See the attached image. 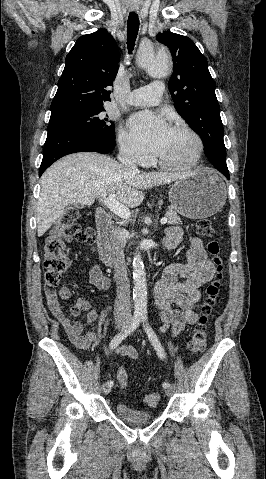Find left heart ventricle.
I'll return each instance as SVG.
<instances>
[{
  "label": "left heart ventricle",
  "instance_id": "b2bd125f",
  "mask_svg": "<svg viewBox=\"0 0 266 479\" xmlns=\"http://www.w3.org/2000/svg\"><path fill=\"white\" fill-rule=\"evenodd\" d=\"M193 139L185 132L172 130L165 149L159 155L164 161L177 162L187 159L193 152Z\"/></svg>",
  "mask_w": 266,
  "mask_h": 479
}]
</instances>
